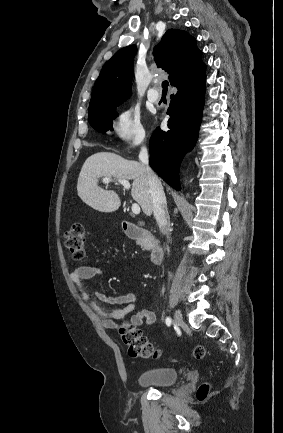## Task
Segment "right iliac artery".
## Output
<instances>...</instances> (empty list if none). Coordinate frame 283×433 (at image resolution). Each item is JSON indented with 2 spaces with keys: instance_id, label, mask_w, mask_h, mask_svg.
Wrapping results in <instances>:
<instances>
[{
  "instance_id": "82829eb1",
  "label": "right iliac artery",
  "mask_w": 283,
  "mask_h": 433,
  "mask_svg": "<svg viewBox=\"0 0 283 433\" xmlns=\"http://www.w3.org/2000/svg\"><path fill=\"white\" fill-rule=\"evenodd\" d=\"M171 323H172V319L171 318H166V324H167V326H170L171 325Z\"/></svg>"
}]
</instances>
